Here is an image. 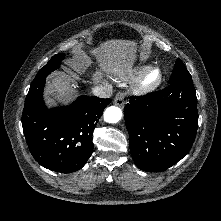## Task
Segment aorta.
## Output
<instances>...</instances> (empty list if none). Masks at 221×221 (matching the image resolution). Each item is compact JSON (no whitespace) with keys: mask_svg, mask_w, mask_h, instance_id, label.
<instances>
[{"mask_svg":"<svg viewBox=\"0 0 221 221\" xmlns=\"http://www.w3.org/2000/svg\"><path fill=\"white\" fill-rule=\"evenodd\" d=\"M122 118V111L119 107L110 106L104 111V121L107 123H117Z\"/></svg>","mask_w":221,"mask_h":221,"instance_id":"aorta-1","label":"aorta"}]
</instances>
